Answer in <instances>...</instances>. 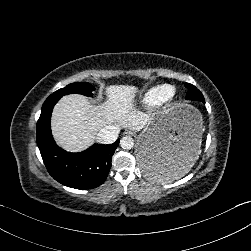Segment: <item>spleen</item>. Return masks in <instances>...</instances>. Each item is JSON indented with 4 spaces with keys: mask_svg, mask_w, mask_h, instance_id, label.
Returning a JSON list of instances; mask_svg holds the SVG:
<instances>
[{
    "mask_svg": "<svg viewBox=\"0 0 251 251\" xmlns=\"http://www.w3.org/2000/svg\"><path fill=\"white\" fill-rule=\"evenodd\" d=\"M194 162L195 160H191L190 162L182 163L179 170L174 174L168 172L167 169H165L158 163L152 162L149 164V175L147 176V178L161 179L163 181H169L172 179L179 178L185 175L190 170Z\"/></svg>",
    "mask_w": 251,
    "mask_h": 251,
    "instance_id": "spleen-1",
    "label": "spleen"
}]
</instances>
